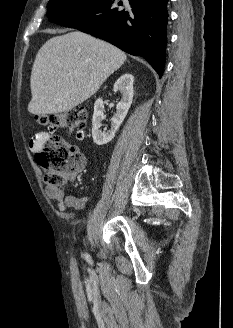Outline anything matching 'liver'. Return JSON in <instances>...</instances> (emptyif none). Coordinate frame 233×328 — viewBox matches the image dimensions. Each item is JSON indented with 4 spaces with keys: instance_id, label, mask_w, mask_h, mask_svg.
Returning <instances> with one entry per match:
<instances>
[{
    "instance_id": "liver-1",
    "label": "liver",
    "mask_w": 233,
    "mask_h": 328,
    "mask_svg": "<svg viewBox=\"0 0 233 328\" xmlns=\"http://www.w3.org/2000/svg\"><path fill=\"white\" fill-rule=\"evenodd\" d=\"M117 47L75 31L48 40L32 67L31 114H57L78 106L98 91L126 61Z\"/></svg>"
}]
</instances>
